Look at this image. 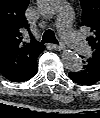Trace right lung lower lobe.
Returning a JSON list of instances; mask_svg holds the SVG:
<instances>
[{
  "mask_svg": "<svg viewBox=\"0 0 100 118\" xmlns=\"http://www.w3.org/2000/svg\"><path fill=\"white\" fill-rule=\"evenodd\" d=\"M44 50V45H40L34 55L30 58L25 68L17 75L12 76L11 78L6 77L12 82H25L32 78L37 73V64L36 60L39 54Z\"/></svg>",
  "mask_w": 100,
  "mask_h": 118,
  "instance_id": "obj_1",
  "label": "right lung lower lobe"
}]
</instances>
